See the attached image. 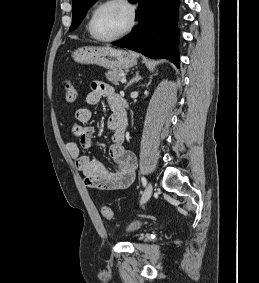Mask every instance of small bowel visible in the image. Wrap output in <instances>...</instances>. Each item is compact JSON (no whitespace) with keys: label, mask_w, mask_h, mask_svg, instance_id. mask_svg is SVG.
Returning <instances> with one entry per match:
<instances>
[{"label":"small bowel","mask_w":259,"mask_h":283,"mask_svg":"<svg viewBox=\"0 0 259 283\" xmlns=\"http://www.w3.org/2000/svg\"><path fill=\"white\" fill-rule=\"evenodd\" d=\"M105 98L113 111L107 119V128L111 132V144L108 149L112 167L91 159L83 154L92 143L94 128L87 125L91 120L92 112L86 107L78 108L75 111V122L71 131L78 143L70 141L66 144L69 155L75 160L77 168L85 178V184L92 189L118 190L129 187L135 179L137 159L135 155L123 146L125 138L126 122L121 120L116 108L119 103V96L109 85L101 82H94L91 91L87 94L85 101L88 105H95Z\"/></svg>","instance_id":"1"}]
</instances>
